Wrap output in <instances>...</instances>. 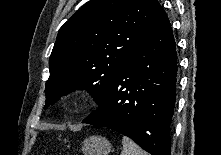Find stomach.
Segmentation results:
<instances>
[{
    "label": "stomach",
    "mask_w": 221,
    "mask_h": 155,
    "mask_svg": "<svg viewBox=\"0 0 221 155\" xmlns=\"http://www.w3.org/2000/svg\"><path fill=\"white\" fill-rule=\"evenodd\" d=\"M111 143L102 136H90L83 141L82 152L84 155H109Z\"/></svg>",
    "instance_id": "1"
}]
</instances>
